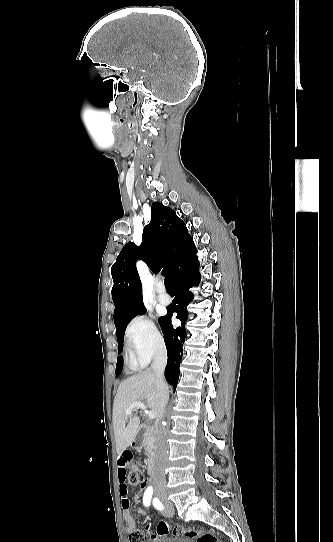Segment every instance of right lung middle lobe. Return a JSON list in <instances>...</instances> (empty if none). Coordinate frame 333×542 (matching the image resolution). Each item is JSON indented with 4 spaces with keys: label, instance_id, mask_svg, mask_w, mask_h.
<instances>
[{
    "label": "right lung middle lobe",
    "instance_id": "1",
    "mask_svg": "<svg viewBox=\"0 0 333 542\" xmlns=\"http://www.w3.org/2000/svg\"><path fill=\"white\" fill-rule=\"evenodd\" d=\"M145 312H146V309L144 307L114 322L116 326V334H117V340H118V353H121L123 349V338H124V332H125L126 326L135 316H137L138 314L142 315ZM161 319L162 317L159 318V322ZM122 368H123V358L122 356H120L118 357L117 364H116L117 376L121 373Z\"/></svg>",
    "mask_w": 333,
    "mask_h": 542
}]
</instances>
